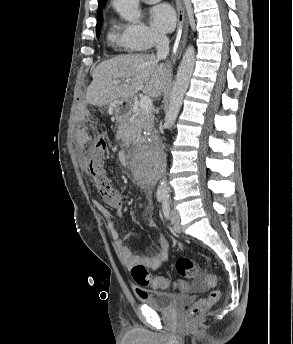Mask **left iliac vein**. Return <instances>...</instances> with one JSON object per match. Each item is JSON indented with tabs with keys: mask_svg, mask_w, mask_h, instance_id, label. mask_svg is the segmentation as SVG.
<instances>
[{
	"mask_svg": "<svg viewBox=\"0 0 293 344\" xmlns=\"http://www.w3.org/2000/svg\"><path fill=\"white\" fill-rule=\"evenodd\" d=\"M170 220L174 227V230L177 233H180L181 232L180 215H179V212L174 208L170 212Z\"/></svg>",
	"mask_w": 293,
	"mask_h": 344,
	"instance_id": "left-iliac-vein-1",
	"label": "left iliac vein"
}]
</instances>
